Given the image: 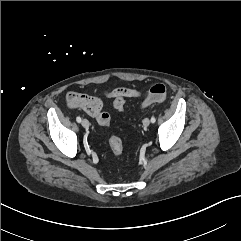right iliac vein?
<instances>
[{
	"label": "right iliac vein",
	"instance_id": "obj_1",
	"mask_svg": "<svg viewBox=\"0 0 241 241\" xmlns=\"http://www.w3.org/2000/svg\"><path fill=\"white\" fill-rule=\"evenodd\" d=\"M81 124H82V126L84 127V128H88L89 127V121L87 120V119H83L82 121H81Z\"/></svg>",
	"mask_w": 241,
	"mask_h": 241
}]
</instances>
